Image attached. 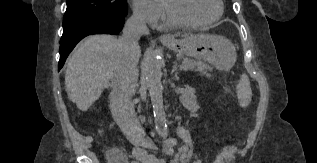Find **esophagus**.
I'll list each match as a JSON object with an SVG mask.
<instances>
[{
	"label": "esophagus",
	"mask_w": 317,
	"mask_h": 163,
	"mask_svg": "<svg viewBox=\"0 0 317 163\" xmlns=\"http://www.w3.org/2000/svg\"><path fill=\"white\" fill-rule=\"evenodd\" d=\"M159 40L160 41H171L172 40V37L170 35H167V34H162L160 37H159Z\"/></svg>",
	"instance_id": "1"
}]
</instances>
